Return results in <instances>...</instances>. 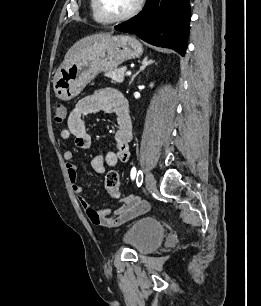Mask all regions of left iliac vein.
Here are the masks:
<instances>
[{
	"mask_svg": "<svg viewBox=\"0 0 261 306\" xmlns=\"http://www.w3.org/2000/svg\"><path fill=\"white\" fill-rule=\"evenodd\" d=\"M145 183L148 191H153L156 187V181L151 172L146 174Z\"/></svg>",
	"mask_w": 261,
	"mask_h": 306,
	"instance_id": "left-iliac-vein-1",
	"label": "left iliac vein"
}]
</instances>
